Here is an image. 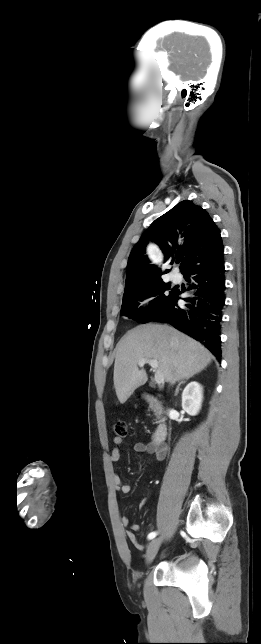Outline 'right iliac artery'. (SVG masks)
<instances>
[{
  "label": "right iliac artery",
  "instance_id": "1",
  "mask_svg": "<svg viewBox=\"0 0 261 644\" xmlns=\"http://www.w3.org/2000/svg\"><path fill=\"white\" fill-rule=\"evenodd\" d=\"M156 535H157V532H151V533L148 535V539H149V540H151V539L155 538V537H156Z\"/></svg>",
  "mask_w": 261,
  "mask_h": 644
}]
</instances>
